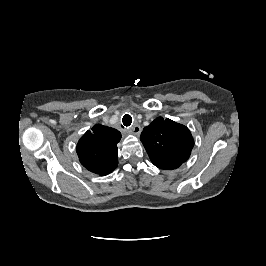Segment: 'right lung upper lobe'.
Here are the masks:
<instances>
[{"instance_id":"obj_1","label":"right lung upper lobe","mask_w":266,"mask_h":266,"mask_svg":"<svg viewBox=\"0 0 266 266\" xmlns=\"http://www.w3.org/2000/svg\"><path fill=\"white\" fill-rule=\"evenodd\" d=\"M120 139L118 130L94 125L78 141L76 151L81 164L101 176L109 174L118 165L117 143Z\"/></svg>"}]
</instances>
